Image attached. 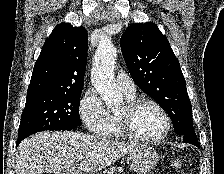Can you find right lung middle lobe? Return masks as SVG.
<instances>
[{
    "instance_id": "1",
    "label": "right lung middle lobe",
    "mask_w": 224,
    "mask_h": 174,
    "mask_svg": "<svg viewBox=\"0 0 224 174\" xmlns=\"http://www.w3.org/2000/svg\"><path fill=\"white\" fill-rule=\"evenodd\" d=\"M81 92L82 90L27 95L18 136L80 126Z\"/></svg>"
}]
</instances>
